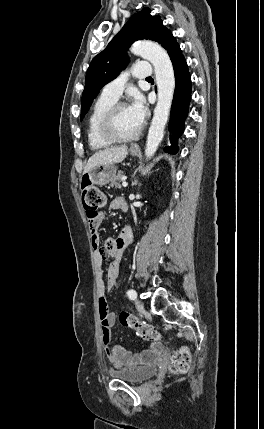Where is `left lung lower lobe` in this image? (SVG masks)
Wrapping results in <instances>:
<instances>
[{"mask_svg":"<svg viewBox=\"0 0 264 429\" xmlns=\"http://www.w3.org/2000/svg\"><path fill=\"white\" fill-rule=\"evenodd\" d=\"M160 44L169 54L173 64L176 81L171 107V117L168 126L172 144L169 147H165L167 152L175 154L178 151V138L184 131V122L188 115L189 103L191 100V78L181 49L170 31L167 32Z\"/></svg>","mask_w":264,"mask_h":429,"instance_id":"obj_1","label":"left lung lower lobe"}]
</instances>
